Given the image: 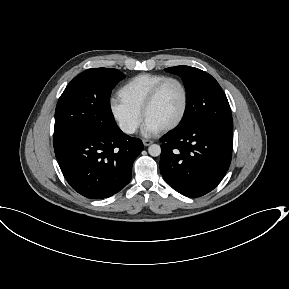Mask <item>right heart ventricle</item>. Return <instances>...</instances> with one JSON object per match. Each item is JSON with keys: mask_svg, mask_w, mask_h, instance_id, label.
I'll list each match as a JSON object with an SVG mask.
<instances>
[{"mask_svg": "<svg viewBox=\"0 0 289 289\" xmlns=\"http://www.w3.org/2000/svg\"><path fill=\"white\" fill-rule=\"evenodd\" d=\"M166 77L153 73L136 75L119 88L117 97L127 107L141 113L143 103L151 89Z\"/></svg>", "mask_w": 289, "mask_h": 289, "instance_id": "e07e8e85", "label": "right heart ventricle"}]
</instances>
